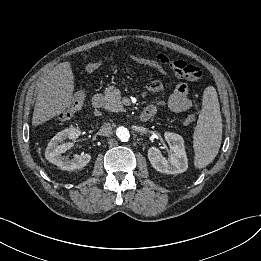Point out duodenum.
I'll return each mask as SVG.
<instances>
[{
    "mask_svg": "<svg viewBox=\"0 0 261 261\" xmlns=\"http://www.w3.org/2000/svg\"><path fill=\"white\" fill-rule=\"evenodd\" d=\"M103 104V97L101 94H96L93 98V106L94 108L100 109ZM154 115V111L150 107L144 108L140 115H139V121L140 122H147L152 116Z\"/></svg>",
    "mask_w": 261,
    "mask_h": 261,
    "instance_id": "obj_1",
    "label": "duodenum"
}]
</instances>
